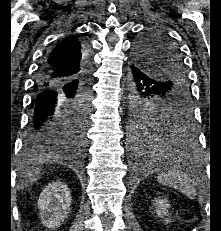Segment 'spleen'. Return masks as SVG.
Here are the masks:
<instances>
[{"mask_svg":"<svg viewBox=\"0 0 221 231\" xmlns=\"http://www.w3.org/2000/svg\"><path fill=\"white\" fill-rule=\"evenodd\" d=\"M157 181L165 186L178 190L189 198H195L197 195L196 188L191 183L190 178L179 170H169L168 172L160 173L157 176Z\"/></svg>","mask_w":221,"mask_h":231,"instance_id":"obj_1","label":"spleen"}]
</instances>
